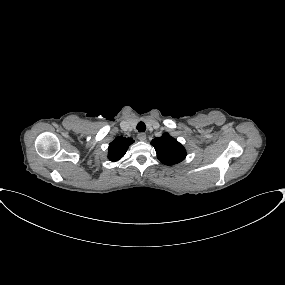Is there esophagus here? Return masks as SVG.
I'll return each mask as SVG.
<instances>
[{
    "label": "esophagus",
    "mask_w": 285,
    "mask_h": 285,
    "mask_svg": "<svg viewBox=\"0 0 285 285\" xmlns=\"http://www.w3.org/2000/svg\"><path fill=\"white\" fill-rule=\"evenodd\" d=\"M137 138L140 140V141H145L146 140V134L145 133H139L137 135Z\"/></svg>",
    "instance_id": "1"
}]
</instances>
